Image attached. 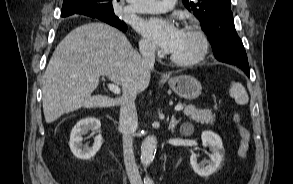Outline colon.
Segmentation results:
<instances>
[{
    "label": "colon",
    "instance_id": "colon-1",
    "mask_svg": "<svg viewBox=\"0 0 293 184\" xmlns=\"http://www.w3.org/2000/svg\"><path fill=\"white\" fill-rule=\"evenodd\" d=\"M233 122L236 124L240 136L238 155L241 158H246L250 147V133L248 129L241 124L240 114L236 113L233 115Z\"/></svg>",
    "mask_w": 293,
    "mask_h": 184
}]
</instances>
